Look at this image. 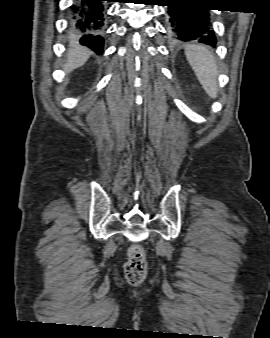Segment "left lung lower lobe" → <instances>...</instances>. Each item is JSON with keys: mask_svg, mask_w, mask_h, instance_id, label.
<instances>
[{"mask_svg": "<svg viewBox=\"0 0 270 338\" xmlns=\"http://www.w3.org/2000/svg\"><path fill=\"white\" fill-rule=\"evenodd\" d=\"M168 36L172 42L199 41L215 46L216 38L210 24L209 8H199L193 0H167Z\"/></svg>", "mask_w": 270, "mask_h": 338, "instance_id": "0a47b994", "label": "left lung lower lobe"}]
</instances>
